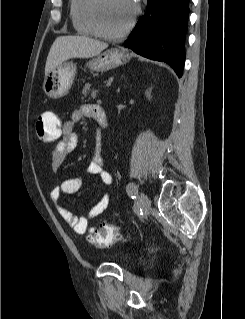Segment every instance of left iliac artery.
Listing matches in <instances>:
<instances>
[{
	"label": "left iliac artery",
	"instance_id": "left-iliac-artery-1",
	"mask_svg": "<svg viewBox=\"0 0 245 319\" xmlns=\"http://www.w3.org/2000/svg\"><path fill=\"white\" fill-rule=\"evenodd\" d=\"M126 191L131 198L133 199L136 198V194L138 190L135 183L133 182L129 183L126 187Z\"/></svg>",
	"mask_w": 245,
	"mask_h": 319
}]
</instances>
